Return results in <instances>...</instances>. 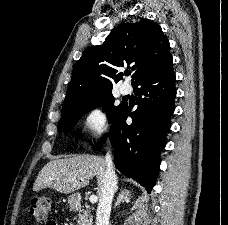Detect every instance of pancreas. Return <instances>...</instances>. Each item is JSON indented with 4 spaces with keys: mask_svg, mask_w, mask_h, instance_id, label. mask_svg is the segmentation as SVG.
<instances>
[{
    "mask_svg": "<svg viewBox=\"0 0 228 225\" xmlns=\"http://www.w3.org/2000/svg\"><path fill=\"white\" fill-rule=\"evenodd\" d=\"M74 219H76L77 225H93V219L91 215H89V211H85L83 215H77Z\"/></svg>",
    "mask_w": 228,
    "mask_h": 225,
    "instance_id": "cf45deb5",
    "label": "pancreas"
}]
</instances>
